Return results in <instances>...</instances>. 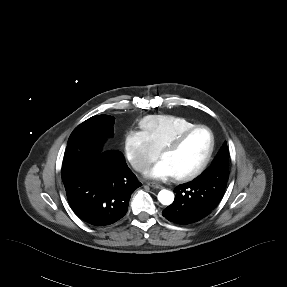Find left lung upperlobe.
I'll return each mask as SVG.
<instances>
[{"label":"left lung upper lobe","mask_w":287,"mask_h":287,"mask_svg":"<svg viewBox=\"0 0 287 287\" xmlns=\"http://www.w3.org/2000/svg\"><path fill=\"white\" fill-rule=\"evenodd\" d=\"M228 167H229V151L226 142L224 143L223 147L215 157L214 161L212 162V165L199 177H197L195 180L199 182H205L209 181L210 179L214 177V171L219 170L222 173H225L228 175Z\"/></svg>","instance_id":"5c2ea615"}]
</instances>
